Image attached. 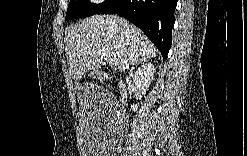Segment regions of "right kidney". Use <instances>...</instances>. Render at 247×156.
Wrapping results in <instances>:
<instances>
[{
	"label": "right kidney",
	"instance_id": "ca27d5eb",
	"mask_svg": "<svg viewBox=\"0 0 247 156\" xmlns=\"http://www.w3.org/2000/svg\"><path fill=\"white\" fill-rule=\"evenodd\" d=\"M155 68L152 63H145L135 72L133 77V84L135 88L142 94H145L148 90L151 81L154 77ZM131 109L135 112L138 109V106L133 104Z\"/></svg>",
	"mask_w": 247,
	"mask_h": 156
}]
</instances>
